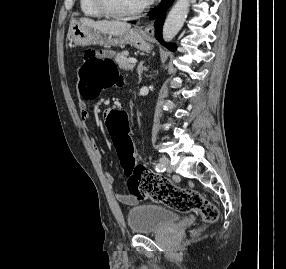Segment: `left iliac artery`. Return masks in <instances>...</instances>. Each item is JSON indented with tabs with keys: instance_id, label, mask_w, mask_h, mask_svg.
<instances>
[{
	"instance_id": "1",
	"label": "left iliac artery",
	"mask_w": 286,
	"mask_h": 269,
	"mask_svg": "<svg viewBox=\"0 0 286 269\" xmlns=\"http://www.w3.org/2000/svg\"><path fill=\"white\" fill-rule=\"evenodd\" d=\"M155 170H156L157 172H164V171L166 170V168H165V166H164L163 164L158 163V164L156 165V167H155Z\"/></svg>"
}]
</instances>
